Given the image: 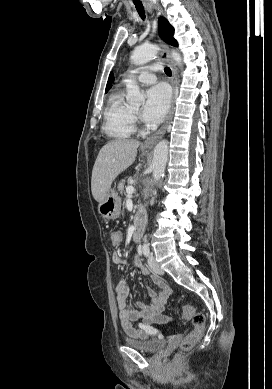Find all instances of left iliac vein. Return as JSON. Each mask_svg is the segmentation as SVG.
Here are the masks:
<instances>
[{"instance_id":"1","label":"left iliac vein","mask_w":272,"mask_h":389,"mask_svg":"<svg viewBox=\"0 0 272 389\" xmlns=\"http://www.w3.org/2000/svg\"><path fill=\"white\" fill-rule=\"evenodd\" d=\"M148 264H149L150 268H151L155 273L163 274V270H162V268L158 265V263L156 262L155 257H154L153 254H150V256H149V258H148Z\"/></svg>"}]
</instances>
